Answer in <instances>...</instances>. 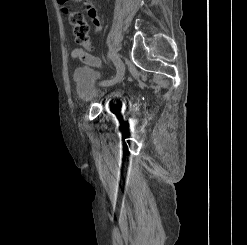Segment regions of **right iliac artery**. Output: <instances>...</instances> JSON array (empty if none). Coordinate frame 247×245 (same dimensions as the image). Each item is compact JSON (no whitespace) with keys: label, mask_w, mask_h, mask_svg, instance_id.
<instances>
[{"label":"right iliac artery","mask_w":247,"mask_h":245,"mask_svg":"<svg viewBox=\"0 0 247 245\" xmlns=\"http://www.w3.org/2000/svg\"><path fill=\"white\" fill-rule=\"evenodd\" d=\"M108 58L109 59H112V55L110 53L108 54Z\"/></svg>","instance_id":"right-iliac-artery-1"}]
</instances>
